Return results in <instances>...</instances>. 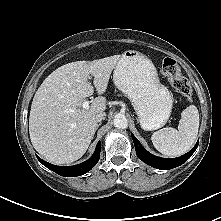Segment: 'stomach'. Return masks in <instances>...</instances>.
Here are the masks:
<instances>
[{"instance_id":"obj_1","label":"stomach","mask_w":221,"mask_h":221,"mask_svg":"<svg viewBox=\"0 0 221 221\" xmlns=\"http://www.w3.org/2000/svg\"><path fill=\"white\" fill-rule=\"evenodd\" d=\"M113 81L130 99L144 130H156L167 123L173 98L160 83L157 70L147 56L135 50L125 51L114 68Z\"/></svg>"}]
</instances>
